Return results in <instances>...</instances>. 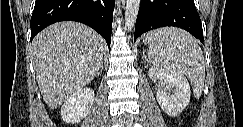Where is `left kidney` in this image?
Instances as JSON below:
<instances>
[{
    "label": "left kidney",
    "mask_w": 243,
    "mask_h": 127,
    "mask_svg": "<svg viewBox=\"0 0 243 127\" xmlns=\"http://www.w3.org/2000/svg\"><path fill=\"white\" fill-rule=\"evenodd\" d=\"M148 76L160 81L161 87L156 93V99L161 108L169 116H178L190 101L191 90L186 77L157 68L149 69Z\"/></svg>",
    "instance_id": "obj_1"
}]
</instances>
